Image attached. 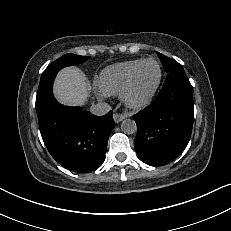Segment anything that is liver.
I'll use <instances>...</instances> for the list:
<instances>
[{"instance_id":"6515ba94","label":"liver","mask_w":231,"mask_h":231,"mask_svg":"<svg viewBox=\"0 0 231 231\" xmlns=\"http://www.w3.org/2000/svg\"><path fill=\"white\" fill-rule=\"evenodd\" d=\"M54 94L64 105H84L89 97V87L84 74L75 67L62 69L56 77Z\"/></svg>"}]
</instances>
